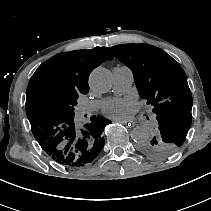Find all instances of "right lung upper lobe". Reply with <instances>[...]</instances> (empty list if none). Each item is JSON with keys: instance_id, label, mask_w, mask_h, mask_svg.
I'll return each mask as SVG.
<instances>
[{"instance_id": "cb5924a9", "label": "right lung upper lobe", "mask_w": 211, "mask_h": 211, "mask_svg": "<svg viewBox=\"0 0 211 211\" xmlns=\"http://www.w3.org/2000/svg\"><path fill=\"white\" fill-rule=\"evenodd\" d=\"M113 56L106 47L59 53L42 63L26 91V114L30 123L43 122L47 103L56 97L79 96L89 91L93 69Z\"/></svg>"}]
</instances>
